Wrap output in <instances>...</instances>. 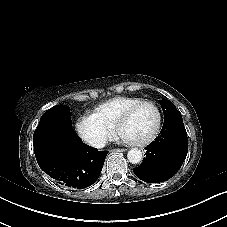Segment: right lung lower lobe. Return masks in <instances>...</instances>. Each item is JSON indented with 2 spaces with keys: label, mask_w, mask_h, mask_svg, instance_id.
<instances>
[{
  "label": "right lung lower lobe",
  "mask_w": 227,
  "mask_h": 227,
  "mask_svg": "<svg viewBox=\"0 0 227 227\" xmlns=\"http://www.w3.org/2000/svg\"><path fill=\"white\" fill-rule=\"evenodd\" d=\"M38 165L53 179L66 186L83 189L98 179L108 151H98L82 141H72L57 128L33 135Z\"/></svg>",
  "instance_id": "right-lung-lower-lobe-1"
}]
</instances>
